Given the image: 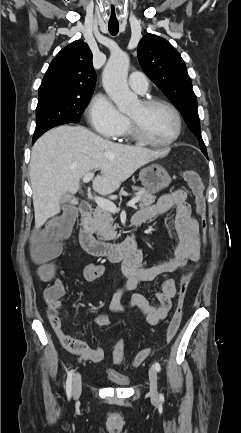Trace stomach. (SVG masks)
Segmentation results:
<instances>
[{"instance_id":"stomach-1","label":"stomach","mask_w":241,"mask_h":433,"mask_svg":"<svg viewBox=\"0 0 241 433\" xmlns=\"http://www.w3.org/2000/svg\"><path fill=\"white\" fill-rule=\"evenodd\" d=\"M139 179L143 187L152 194L165 189L172 181L166 169L158 164L143 168L139 173Z\"/></svg>"}]
</instances>
